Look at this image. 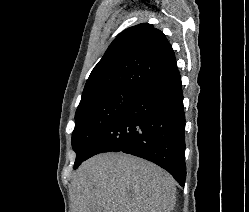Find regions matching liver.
I'll return each instance as SVG.
<instances>
[{
    "label": "liver",
    "mask_w": 249,
    "mask_h": 212,
    "mask_svg": "<svg viewBox=\"0 0 249 212\" xmlns=\"http://www.w3.org/2000/svg\"><path fill=\"white\" fill-rule=\"evenodd\" d=\"M72 212H172L175 180L130 154H98L72 178Z\"/></svg>",
    "instance_id": "obj_1"
}]
</instances>
